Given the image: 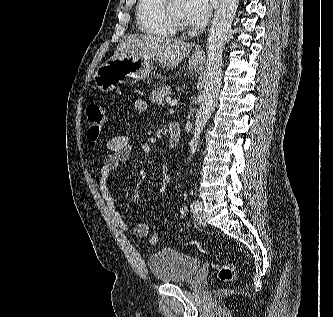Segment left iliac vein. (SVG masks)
Here are the masks:
<instances>
[{"mask_svg": "<svg viewBox=\"0 0 333 317\" xmlns=\"http://www.w3.org/2000/svg\"><path fill=\"white\" fill-rule=\"evenodd\" d=\"M194 219L199 225H206L207 221L205 215L203 214V204L200 202L199 209L194 212Z\"/></svg>", "mask_w": 333, "mask_h": 317, "instance_id": "obj_1", "label": "left iliac vein"}]
</instances>
